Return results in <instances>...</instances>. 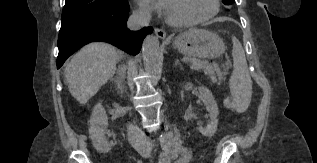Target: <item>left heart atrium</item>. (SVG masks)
I'll use <instances>...</instances> for the list:
<instances>
[{
    "label": "left heart atrium",
    "instance_id": "obj_1",
    "mask_svg": "<svg viewBox=\"0 0 317 163\" xmlns=\"http://www.w3.org/2000/svg\"><path fill=\"white\" fill-rule=\"evenodd\" d=\"M147 6H150L159 11H165L167 8L168 0H141Z\"/></svg>",
    "mask_w": 317,
    "mask_h": 163
}]
</instances>
